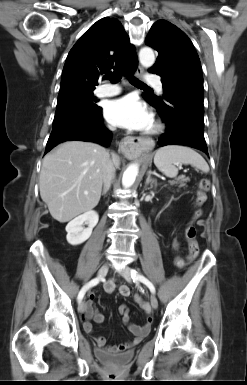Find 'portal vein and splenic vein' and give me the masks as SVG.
<instances>
[{
  "label": "portal vein and splenic vein",
  "instance_id": "portal-vein-and-splenic-vein-1",
  "mask_svg": "<svg viewBox=\"0 0 247 385\" xmlns=\"http://www.w3.org/2000/svg\"><path fill=\"white\" fill-rule=\"evenodd\" d=\"M178 168H179V169H183L182 165H178ZM84 193H85V194H88L87 191H85Z\"/></svg>",
  "mask_w": 247,
  "mask_h": 385
}]
</instances>
